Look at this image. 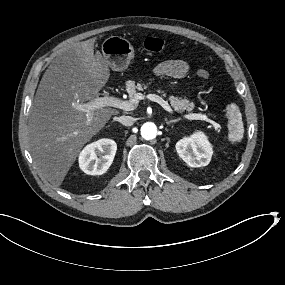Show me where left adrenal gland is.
I'll use <instances>...</instances> for the list:
<instances>
[{
  "mask_svg": "<svg viewBox=\"0 0 285 285\" xmlns=\"http://www.w3.org/2000/svg\"><path fill=\"white\" fill-rule=\"evenodd\" d=\"M178 121H180V118H178V119H173V120H166V124H170V123H175V122H178Z\"/></svg>",
  "mask_w": 285,
  "mask_h": 285,
  "instance_id": "1",
  "label": "left adrenal gland"
}]
</instances>
